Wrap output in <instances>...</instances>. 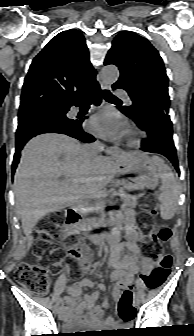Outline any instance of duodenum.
<instances>
[{"label": "duodenum", "instance_id": "duodenum-1", "mask_svg": "<svg viewBox=\"0 0 194 336\" xmlns=\"http://www.w3.org/2000/svg\"><path fill=\"white\" fill-rule=\"evenodd\" d=\"M87 206L83 202H78L68 209L66 214V225L68 229V233L70 235H74L76 233L77 225L82 217V215L86 212ZM66 252L75 260L81 261L83 259L84 253L82 251V247L77 244H70L66 246Z\"/></svg>", "mask_w": 194, "mask_h": 336}]
</instances>
